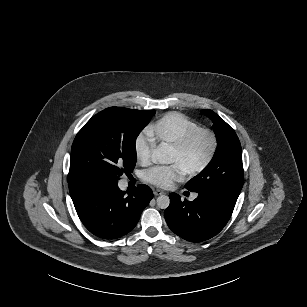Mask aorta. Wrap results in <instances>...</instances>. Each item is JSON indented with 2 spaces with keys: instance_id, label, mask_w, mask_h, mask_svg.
<instances>
[{
  "instance_id": "aorta-1",
  "label": "aorta",
  "mask_w": 307,
  "mask_h": 307,
  "mask_svg": "<svg viewBox=\"0 0 307 307\" xmlns=\"http://www.w3.org/2000/svg\"><path fill=\"white\" fill-rule=\"evenodd\" d=\"M173 148L168 144H161L156 151L152 154V160L154 163L170 164L172 163L171 153ZM170 204V199L166 195H160L157 198V206L161 209H166Z\"/></svg>"
}]
</instances>
